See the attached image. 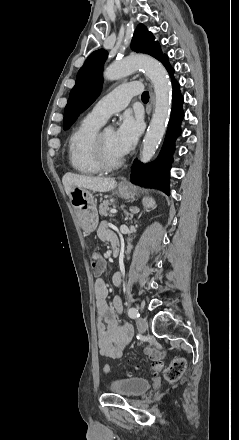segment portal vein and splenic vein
Wrapping results in <instances>:
<instances>
[{
	"instance_id": "1",
	"label": "portal vein and splenic vein",
	"mask_w": 239,
	"mask_h": 440,
	"mask_svg": "<svg viewBox=\"0 0 239 440\" xmlns=\"http://www.w3.org/2000/svg\"><path fill=\"white\" fill-rule=\"evenodd\" d=\"M119 212L116 209H111V215L118 214Z\"/></svg>"
}]
</instances>
